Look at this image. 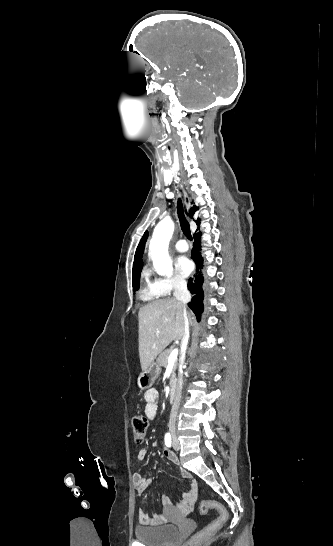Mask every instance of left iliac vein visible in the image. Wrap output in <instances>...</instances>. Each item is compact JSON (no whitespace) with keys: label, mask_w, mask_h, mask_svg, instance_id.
<instances>
[{"label":"left iliac vein","mask_w":333,"mask_h":546,"mask_svg":"<svg viewBox=\"0 0 333 546\" xmlns=\"http://www.w3.org/2000/svg\"><path fill=\"white\" fill-rule=\"evenodd\" d=\"M173 448L176 451L179 449V444L175 436H173Z\"/></svg>","instance_id":"obj_1"}]
</instances>
